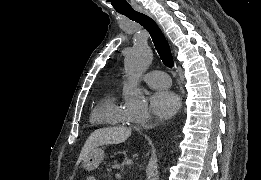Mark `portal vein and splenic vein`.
I'll return each instance as SVG.
<instances>
[{
	"instance_id": "18ae733b",
	"label": "portal vein and splenic vein",
	"mask_w": 261,
	"mask_h": 180,
	"mask_svg": "<svg viewBox=\"0 0 261 180\" xmlns=\"http://www.w3.org/2000/svg\"><path fill=\"white\" fill-rule=\"evenodd\" d=\"M120 177H123V172H117V174H115V179H120Z\"/></svg>"
}]
</instances>
